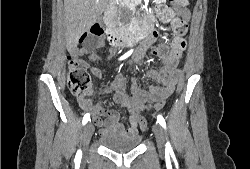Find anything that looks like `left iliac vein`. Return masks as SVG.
I'll return each instance as SVG.
<instances>
[{
    "mask_svg": "<svg viewBox=\"0 0 250 169\" xmlns=\"http://www.w3.org/2000/svg\"><path fill=\"white\" fill-rule=\"evenodd\" d=\"M154 133L156 137V142L159 150H164L165 147V133L160 126H154Z\"/></svg>",
    "mask_w": 250,
    "mask_h": 169,
    "instance_id": "left-iliac-vein-1",
    "label": "left iliac vein"
}]
</instances>
